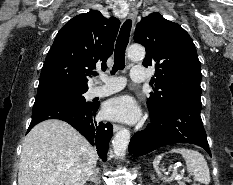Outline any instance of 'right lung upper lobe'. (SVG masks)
<instances>
[{
	"label": "right lung upper lobe",
	"mask_w": 233,
	"mask_h": 185,
	"mask_svg": "<svg viewBox=\"0 0 233 185\" xmlns=\"http://www.w3.org/2000/svg\"><path fill=\"white\" fill-rule=\"evenodd\" d=\"M120 21L93 10L72 18L58 32L44 62L38 90L88 89L87 77L97 63L106 66Z\"/></svg>",
	"instance_id": "cb5924a9"
}]
</instances>
